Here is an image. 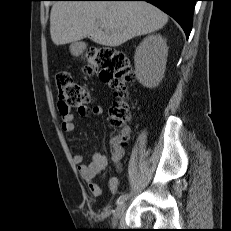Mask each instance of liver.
Listing matches in <instances>:
<instances>
[{"instance_id": "liver-1", "label": "liver", "mask_w": 231, "mask_h": 231, "mask_svg": "<svg viewBox=\"0 0 231 231\" xmlns=\"http://www.w3.org/2000/svg\"><path fill=\"white\" fill-rule=\"evenodd\" d=\"M167 21L164 12L147 2L58 1L50 13V34L55 45L89 37L117 47L163 28Z\"/></svg>"}]
</instances>
